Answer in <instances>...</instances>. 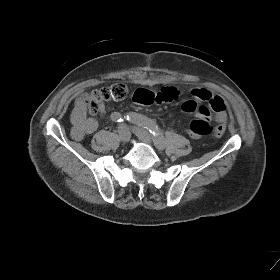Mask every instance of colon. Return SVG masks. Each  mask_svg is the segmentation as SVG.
Returning <instances> with one entry per match:
<instances>
[{
  "label": "colon",
  "mask_w": 280,
  "mask_h": 280,
  "mask_svg": "<svg viewBox=\"0 0 280 280\" xmlns=\"http://www.w3.org/2000/svg\"><path fill=\"white\" fill-rule=\"evenodd\" d=\"M127 87L122 83H114L110 86L93 90L90 93L78 97L76 104L83 106L91 113H96L99 105L105 101H119L126 97ZM225 129L213 127L207 120H193L188 127V131L197 137L209 136L211 134L220 135Z\"/></svg>",
  "instance_id": "1"
}]
</instances>
